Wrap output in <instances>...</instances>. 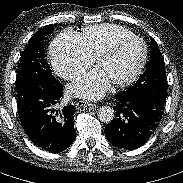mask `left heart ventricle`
Here are the masks:
<instances>
[{
    "mask_svg": "<svg viewBox=\"0 0 183 183\" xmlns=\"http://www.w3.org/2000/svg\"><path fill=\"white\" fill-rule=\"evenodd\" d=\"M142 54V44L136 40H130L123 43L114 54L102 59L97 67L113 84L128 77L135 70Z\"/></svg>",
    "mask_w": 183,
    "mask_h": 183,
    "instance_id": "1",
    "label": "left heart ventricle"
}]
</instances>
